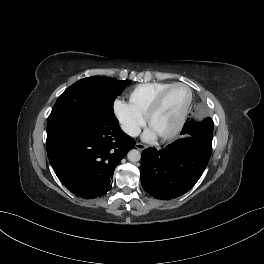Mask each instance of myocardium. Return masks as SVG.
<instances>
[{"label":"myocardium","mask_w":264,"mask_h":264,"mask_svg":"<svg viewBox=\"0 0 264 264\" xmlns=\"http://www.w3.org/2000/svg\"><path fill=\"white\" fill-rule=\"evenodd\" d=\"M175 87H183L188 91V99L186 101V104L177 120V122L175 123V125L169 129L168 131L159 134L158 137L161 139H168L171 138L173 136H175L183 127L185 120L187 118L191 103H192V90L191 88L185 84V83H181V82H176V83H172L170 85H168L167 87H165L164 89H162L154 98V100L152 101V103L150 104V106L148 107L146 113H145V121L146 124L148 126H150V122L151 119L153 117V115L158 111V109L160 108L162 101L164 99V97L166 96V94L173 88Z\"/></svg>","instance_id":"obj_1"}]
</instances>
